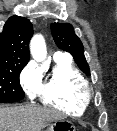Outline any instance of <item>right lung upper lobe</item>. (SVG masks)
I'll return each mask as SVG.
<instances>
[{"instance_id": "right-lung-upper-lobe-1", "label": "right lung upper lobe", "mask_w": 117, "mask_h": 131, "mask_svg": "<svg viewBox=\"0 0 117 131\" xmlns=\"http://www.w3.org/2000/svg\"><path fill=\"white\" fill-rule=\"evenodd\" d=\"M33 35L31 22L20 16L10 17L0 33V66L29 61V41Z\"/></svg>"}]
</instances>
